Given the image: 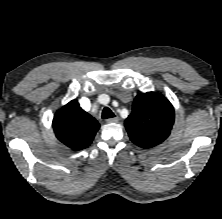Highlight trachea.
I'll return each instance as SVG.
<instances>
[{
  "instance_id": "trachea-1",
  "label": "trachea",
  "mask_w": 222,
  "mask_h": 219,
  "mask_svg": "<svg viewBox=\"0 0 222 219\" xmlns=\"http://www.w3.org/2000/svg\"><path fill=\"white\" fill-rule=\"evenodd\" d=\"M113 117H115L114 113L108 107H105L102 111V118L108 119Z\"/></svg>"
}]
</instances>
